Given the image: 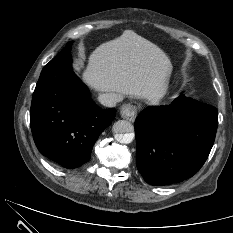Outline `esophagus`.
<instances>
[{"mask_svg":"<svg viewBox=\"0 0 233 233\" xmlns=\"http://www.w3.org/2000/svg\"><path fill=\"white\" fill-rule=\"evenodd\" d=\"M137 107L132 104H123L120 108V115L122 118L133 122L136 118Z\"/></svg>","mask_w":233,"mask_h":233,"instance_id":"34e87169","label":"esophagus"}]
</instances>
